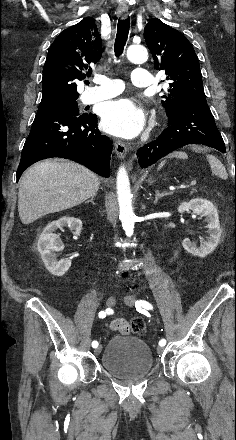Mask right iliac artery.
Wrapping results in <instances>:
<instances>
[{"instance_id": "right-iliac-artery-1", "label": "right iliac artery", "mask_w": 236, "mask_h": 440, "mask_svg": "<svg viewBox=\"0 0 236 440\" xmlns=\"http://www.w3.org/2000/svg\"><path fill=\"white\" fill-rule=\"evenodd\" d=\"M109 314V310L107 309L106 311H100L99 312V318H105L106 315ZM98 346V342L97 341H93L92 342V347L96 348Z\"/></svg>"}]
</instances>
